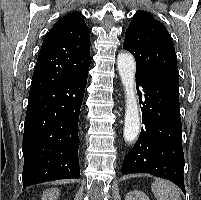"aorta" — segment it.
<instances>
[{
    "label": "aorta",
    "mask_w": 201,
    "mask_h": 200,
    "mask_svg": "<svg viewBox=\"0 0 201 200\" xmlns=\"http://www.w3.org/2000/svg\"><path fill=\"white\" fill-rule=\"evenodd\" d=\"M117 67L125 87L126 110L124 122V139L132 142L140 130V115L135 91V60L130 53H121L117 58Z\"/></svg>",
    "instance_id": "1"
}]
</instances>
